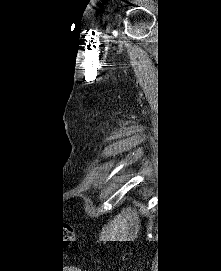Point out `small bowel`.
Returning <instances> with one entry per match:
<instances>
[{"label":"small bowel","mask_w":221,"mask_h":271,"mask_svg":"<svg viewBox=\"0 0 221 271\" xmlns=\"http://www.w3.org/2000/svg\"><path fill=\"white\" fill-rule=\"evenodd\" d=\"M75 271H80L79 269H75Z\"/></svg>","instance_id":"obj_1"}]
</instances>
